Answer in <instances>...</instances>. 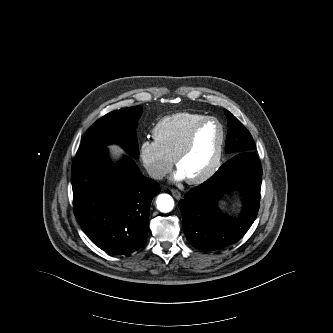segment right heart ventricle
Segmentation results:
<instances>
[{
	"mask_svg": "<svg viewBox=\"0 0 333 333\" xmlns=\"http://www.w3.org/2000/svg\"><path fill=\"white\" fill-rule=\"evenodd\" d=\"M207 116L180 112L162 118L153 128L154 142L170 159H173L193 127Z\"/></svg>",
	"mask_w": 333,
	"mask_h": 333,
	"instance_id": "e07e8e85",
	"label": "right heart ventricle"
}]
</instances>
